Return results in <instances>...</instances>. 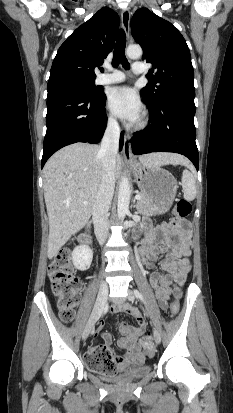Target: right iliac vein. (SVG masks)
Listing matches in <instances>:
<instances>
[{
  "label": "right iliac vein",
  "mask_w": 233,
  "mask_h": 413,
  "mask_svg": "<svg viewBox=\"0 0 233 413\" xmlns=\"http://www.w3.org/2000/svg\"><path fill=\"white\" fill-rule=\"evenodd\" d=\"M107 295H108V286L105 282H103L101 284V287H100V290H99L97 300H96L95 306L93 308L92 314H91V316H90V318H89V320H88V322H87V324L84 328V331H83V334H82V339L83 340H85L89 336V334H90L92 328L94 327L96 321L100 317V315H101V313L104 309V306L106 304V301H107Z\"/></svg>",
  "instance_id": "obj_1"
}]
</instances>
